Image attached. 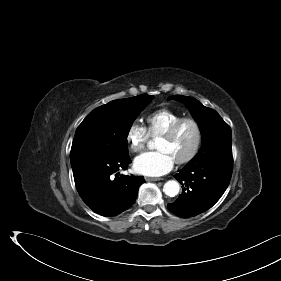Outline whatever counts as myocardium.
Wrapping results in <instances>:
<instances>
[{"mask_svg": "<svg viewBox=\"0 0 281 281\" xmlns=\"http://www.w3.org/2000/svg\"><path fill=\"white\" fill-rule=\"evenodd\" d=\"M185 123H191L194 126V128L196 130V141H195L194 147L192 148V150L190 151V153L188 155L175 161L179 165L186 164V163H189L190 161H192L197 156V154L200 150V147L202 144V139H203V132H202V128H201L199 122L196 119L191 118V117H182L179 120H177L176 122H174L160 136V138H164V139L173 138L175 136V134L177 133V131L179 130V128Z\"/></svg>", "mask_w": 281, "mask_h": 281, "instance_id": "1", "label": "myocardium"}]
</instances>
